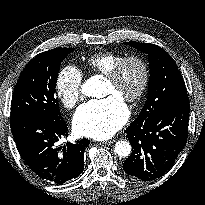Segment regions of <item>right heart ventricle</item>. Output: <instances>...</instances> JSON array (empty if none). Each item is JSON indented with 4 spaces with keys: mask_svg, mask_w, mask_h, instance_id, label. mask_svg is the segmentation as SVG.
<instances>
[{
    "mask_svg": "<svg viewBox=\"0 0 205 205\" xmlns=\"http://www.w3.org/2000/svg\"><path fill=\"white\" fill-rule=\"evenodd\" d=\"M123 57V55L113 52L95 53L86 58L85 68L90 74H100L105 76Z\"/></svg>",
    "mask_w": 205,
    "mask_h": 205,
    "instance_id": "obj_1",
    "label": "right heart ventricle"
}]
</instances>
